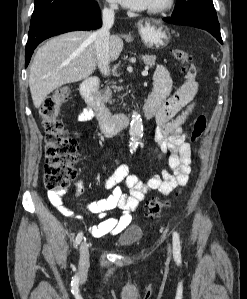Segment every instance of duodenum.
<instances>
[{"label":"duodenum","instance_id":"410a0bca","mask_svg":"<svg viewBox=\"0 0 247 299\" xmlns=\"http://www.w3.org/2000/svg\"><path fill=\"white\" fill-rule=\"evenodd\" d=\"M99 79L88 78L80 86V93L87 105L93 110L101 131L112 136L129 125L132 117L125 113H111L98 93ZM157 108L147 101L140 110L141 116L149 120L156 115Z\"/></svg>","mask_w":247,"mask_h":299}]
</instances>
